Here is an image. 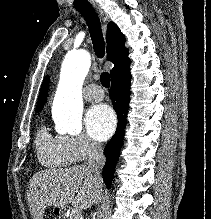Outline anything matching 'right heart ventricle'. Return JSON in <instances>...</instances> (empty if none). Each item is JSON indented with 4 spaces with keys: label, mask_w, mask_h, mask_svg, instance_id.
I'll list each match as a JSON object with an SVG mask.
<instances>
[{
    "label": "right heart ventricle",
    "mask_w": 211,
    "mask_h": 219,
    "mask_svg": "<svg viewBox=\"0 0 211 219\" xmlns=\"http://www.w3.org/2000/svg\"><path fill=\"white\" fill-rule=\"evenodd\" d=\"M35 147L38 160L44 166L60 167L72 162L60 137L51 135L45 126H41L37 131Z\"/></svg>",
    "instance_id": "e07e8e85"
}]
</instances>
